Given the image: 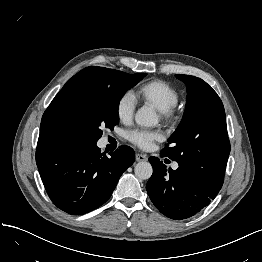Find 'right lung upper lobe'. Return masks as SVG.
<instances>
[{"instance_id":"1","label":"right lung upper lobe","mask_w":262,"mask_h":262,"mask_svg":"<svg viewBox=\"0 0 262 262\" xmlns=\"http://www.w3.org/2000/svg\"><path fill=\"white\" fill-rule=\"evenodd\" d=\"M103 70H107V68L90 66V67H87V68L81 70L76 75H81V74H85V73H99ZM61 92H62V90L55 96V98L52 100L51 104L49 105V107L47 108V110L43 114L41 125H40V135L41 134L58 135L52 128L51 122L49 120V113L52 111L54 105L56 104L58 98L61 95Z\"/></svg>"}]
</instances>
